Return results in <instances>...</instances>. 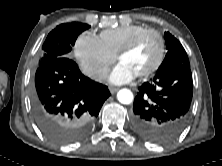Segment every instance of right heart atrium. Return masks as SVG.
<instances>
[{
    "mask_svg": "<svg viewBox=\"0 0 222 166\" xmlns=\"http://www.w3.org/2000/svg\"><path fill=\"white\" fill-rule=\"evenodd\" d=\"M74 54L83 73L95 81H101L109 66L115 61V55L111 54L99 37L92 33L78 36Z\"/></svg>",
    "mask_w": 222,
    "mask_h": 166,
    "instance_id": "obj_1",
    "label": "right heart atrium"
}]
</instances>
